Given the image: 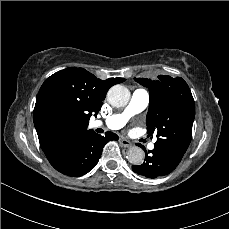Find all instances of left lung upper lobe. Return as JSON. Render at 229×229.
<instances>
[{"label":"left lung upper lobe","instance_id":"obj_1","mask_svg":"<svg viewBox=\"0 0 229 229\" xmlns=\"http://www.w3.org/2000/svg\"><path fill=\"white\" fill-rule=\"evenodd\" d=\"M150 93L146 117L147 133H156L155 146L179 164L191 138L195 103L189 86L181 77L159 75L158 79L135 78Z\"/></svg>","mask_w":229,"mask_h":229}]
</instances>
